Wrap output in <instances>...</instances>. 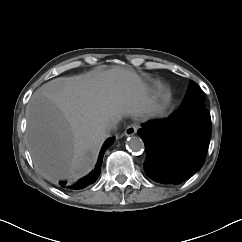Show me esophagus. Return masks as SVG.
Listing matches in <instances>:
<instances>
[{"label":"esophagus","instance_id":"esophagus-1","mask_svg":"<svg viewBox=\"0 0 242 242\" xmlns=\"http://www.w3.org/2000/svg\"><path fill=\"white\" fill-rule=\"evenodd\" d=\"M138 128L136 125H129L125 131H124V135L126 136H132L137 132Z\"/></svg>","mask_w":242,"mask_h":242}]
</instances>
